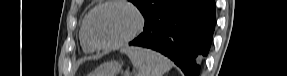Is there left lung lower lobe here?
Masks as SVG:
<instances>
[{
    "label": "left lung lower lobe",
    "mask_w": 287,
    "mask_h": 76,
    "mask_svg": "<svg viewBox=\"0 0 287 76\" xmlns=\"http://www.w3.org/2000/svg\"><path fill=\"white\" fill-rule=\"evenodd\" d=\"M215 0H173L145 21L130 45L156 50L185 74L199 76L215 28Z\"/></svg>",
    "instance_id": "0a47b994"
}]
</instances>
